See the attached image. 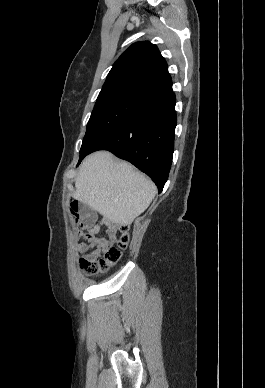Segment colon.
<instances>
[{"instance_id": "1", "label": "colon", "mask_w": 265, "mask_h": 388, "mask_svg": "<svg viewBox=\"0 0 265 388\" xmlns=\"http://www.w3.org/2000/svg\"><path fill=\"white\" fill-rule=\"evenodd\" d=\"M70 212L75 219L79 218V203L77 201L71 202ZM127 229V225H122L120 227L121 236L119 238L118 246L109 248L103 258L99 260L80 259V267L86 274L90 276L100 275L119 261L129 240Z\"/></svg>"}]
</instances>
